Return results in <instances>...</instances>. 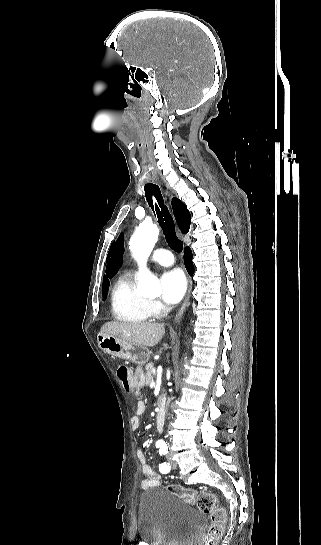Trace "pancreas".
I'll return each instance as SVG.
<instances>
[{
    "label": "pancreas",
    "mask_w": 321,
    "mask_h": 545,
    "mask_svg": "<svg viewBox=\"0 0 321 545\" xmlns=\"http://www.w3.org/2000/svg\"><path fill=\"white\" fill-rule=\"evenodd\" d=\"M153 369H154V363H147L146 367H145V371H146V383L147 385H150V383H153Z\"/></svg>",
    "instance_id": "1"
}]
</instances>
